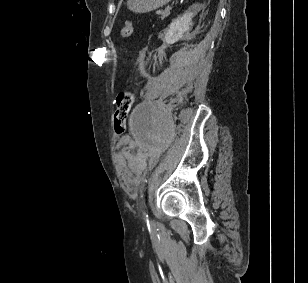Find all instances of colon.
<instances>
[{"label": "colon", "mask_w": 308, "mask_h": 283, "mask_svg": "<svg viewBox=\"0 0 308 283\" xmlns=\"http://www.w3.org/2000/svg\"><path fill=\"white\" fill-rule=\"evenodd\" d=\"M134 30L133 23L131 21L121 28L120 35L122 37H129ZM134 103V94L130 91L121 92L117 95L115 101V109L113 113V125L118 134H122L127 125L130 110Z\"/></svg>", "instance_id": "1"}]
</instances>
